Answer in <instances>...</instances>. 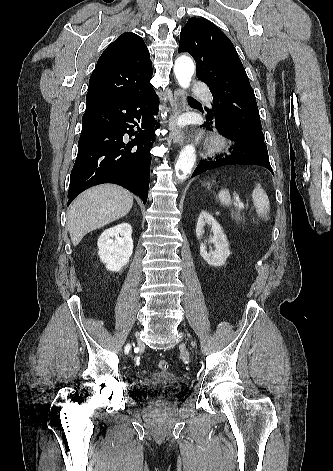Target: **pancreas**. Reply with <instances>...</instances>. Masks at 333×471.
<instances>
[{
  "mask_svg": "<svg viewBox=\"0 0 333 471\" xmlns=\"http://www.w3.org/2000/svg\"><path fill=\"white\" fill-rule=\"evenodd\" d=\"M231 217L238 224L244 223V221H245V218H244L243 215H241L239 209L238 210H232Z\"/></svg>",
  "mask_w": 333,
  "mask_h": 471,
  "instance_id": "cf45deb5",
  "label": "pancreas"
}]
</instances>
